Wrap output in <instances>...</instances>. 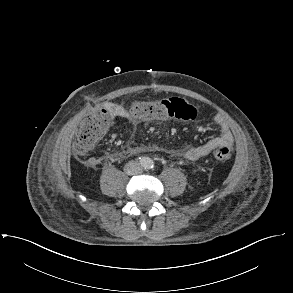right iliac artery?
<instances>
[{
  "mask_svg": "<svg viewBox=\"0 0 293 293\" xmlns=\"http://www.w3.org/2000/svg\"><path fill=\"white\" fill-rule=\"evenodd\" d=\"M140 160H139V162H140V164L141 165H145L146 163H147V160L145 159V158H139Z\"/></svg>",
  "mask_w": 293,
  "mask_h": 293,
  "instance_id": "obj_1",
  "label": "right iliac artery"
}]
</instances>
